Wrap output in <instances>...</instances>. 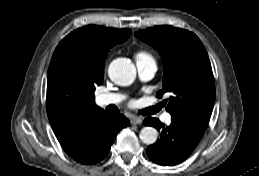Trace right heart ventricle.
I'll return each mask as SVG.
<instances>
[{
	"label": "right heart ventricle",
	"mask_w": 259,
	"mask_h": 176,
	"mask_svg": "<svg viewBox=\"0 0 259 176\" xmlns=\"http://www.w3.org/2000/svg\"><path fill=\"white\" fill-rule=\"evenodd\" d=\"M147 59H152L151 55L145 51H139L136 54V60L141 61V60H147Z\"/></svg>",
	"instance_id": "e07e8e85"
}]
</instances>
